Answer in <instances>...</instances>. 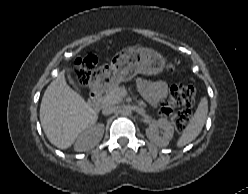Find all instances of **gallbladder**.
Segmentation results:
<instances>
[{"label": "gallbladder", "mask_w": 248, "mask_h": 194, "mask_svg": "<svg viewBox=\"0 0 248 194\" xmlns=\"http://www.w3.org/2000/svg\"><path fill=\"white\" fill-rule=\"evenodd\" d=\"M68 79H69V82L71 83V84H73V80L71 79V77L68 75Z\"/></svg>", "instance_id": "1"}]
</instances>
